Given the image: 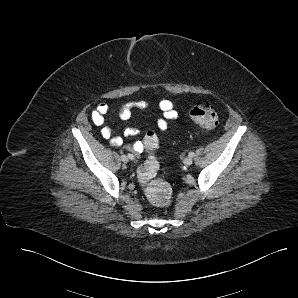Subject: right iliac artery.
<instances>
[{
  "label": "right iliac artery",
  "mask_w": 298,
  "mask_h": 298,
  "mask_svg": "<svg viewBox=\"0 0 298 298\" xmlns=\"http://www.w3.org/2000/svg\"><path fill=\"white\" fill-rule=\"evenodd\" d=\"M128 157H129V159H131V160H133L134 159V156L132 155V154H128Z\"/></svg>",
  "instance_id": "right-iliac-artery-1"
}]
</instances>
